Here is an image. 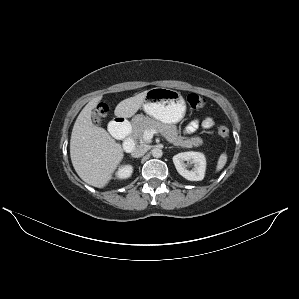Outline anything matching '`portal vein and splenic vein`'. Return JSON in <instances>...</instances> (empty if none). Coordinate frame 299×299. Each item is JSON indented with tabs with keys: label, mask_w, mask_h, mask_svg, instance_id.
I'll list each match as a JSON object with an SVG mask.
<instances>
[{
	"label": "portal vein and splenic vein",
	"mask_w": 299,
	"mask_h": 299,
	"mask_svg": "<svg viewBox=\"0 0 299 299\" xmlns=\"http://www.w3.org/2000/svg\"><path fill=\"white\" fill-rule=\"evenodd\" d=\"M156 134H158L156 130H145L143 134V140L149 142Z\"/></svg>",
	"instance_id": "portal-vein-and-splenic-vein-1"
}]
</instances>
